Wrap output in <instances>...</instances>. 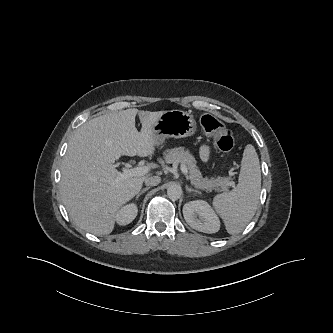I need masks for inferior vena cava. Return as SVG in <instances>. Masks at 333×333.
<instances>
[{"label": "inferior vena cava", "mask_w": 333, "mask_h": 333, "mask_svg": "<svg viewBox=\"0 0 333 333\" xmlns=\"http://www.w3.org/2000/svg\"><path fill=\"white\" fill-rule=\"evenodd\" d=\"M161 178L159 176H151L145 179V184L147 186H156L160 183Z\"/></svg>", "instance_id": "602c4592"}]
</instances>
